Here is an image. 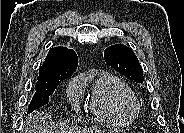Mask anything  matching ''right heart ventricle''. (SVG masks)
Here are the masks:
<instances>
[{
    "instance_id": "1",
    "label": "right heart ventricle",
    "mask_w": 184,
    "mask_h": 133,
    "mask_svg": "<svg viewBox=\"0 0 184 133\" xmlns=\"http://www.w3.org/2000/svg\"><path fill=\"white\" fill-rule=\"evenodd\" d=\"M136 102L130 87L116 76L103 73L93 84L90 108L97 117L109 123L125 125L132 121L138 112Z\"/></svg>"
}]
</instances>
